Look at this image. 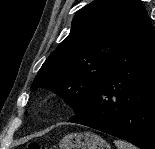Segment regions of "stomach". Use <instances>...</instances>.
<instances>
[{"label":"stomach","instance_id":"stomach-1","mask_svg":"<svg viewBox=\"0 0 155 149\" xmlns=\"http://www.w3.org/2000/svg\"><path fill=\"white\" fill-rule=\"evenodd\" d=\"M59 149H111L100 136L91 132L70 133L64 136Z\"/></svg>","mask_w":155,"mask_h":149}]
</instances>
